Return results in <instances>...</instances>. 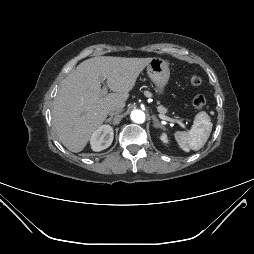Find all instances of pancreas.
<instances>
[{
    "label": "pancreas",
    "instance_id": "1",
    "mask_svg": "<svg viewBox=\"0 0 254 254\" xmlns=\"http://www.w3.org/2000/svg\"><path fill=\"white\" fill-rule=\"evenodd\" d=\"M144 92H145V94H148L147 91H144ZM157 109H158V112H159L160 114H163V115H165L166 112H167V109L164 108L163 106H158Z\"/></svg>",
    "mask_w": 254,
    "mask_h": 254
}]
</instances>
